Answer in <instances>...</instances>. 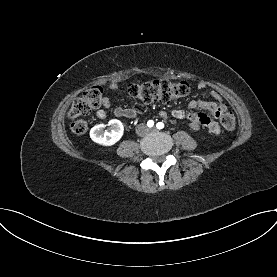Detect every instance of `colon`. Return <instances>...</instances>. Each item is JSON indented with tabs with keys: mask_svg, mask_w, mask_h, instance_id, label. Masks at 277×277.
<instances>
[{
	"mask_svg": "<svg viewBox=\"0 0 277 277\" xmlns=\"http://www.w3.org/2000/svg\"><path fill=\"white\" fill-rule=\"evenodd\" d=\"M127 90L130 96L144 102L158 101L169 103L186 96L189 93L190 87L184 81L159 79L130 84ZM104 95V87L94 86L84 91L82 95L74 100L68 112V117L72 120L71 130L75 134L87 132L89 127L88 121L81 117L102 105ZM221 123L226 130L231 131L236 125L235 117L230 112L225 111L221 115Z\"/></svg>",
	"mask_w": 277,
	"mask_h": 277,
	"instance_id": "colon-1",
	"label": "colon"
}]
</instances>
